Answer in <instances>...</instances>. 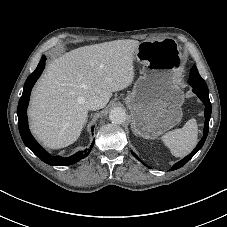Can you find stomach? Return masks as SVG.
Instances as JSON below:
<instances>
[{
  "instance_id": "obj_1",
  "label": "stomach",
  "mask_w": 227,
  "mask_h": 227,
  "mask_svg": "<svg viewBox=\"0 0 227 227\" xmlns=\"http://www.w3.org/2000/svg\"><path fill=\"white\" fill-rule=\"evenodd\" d=\"M134 59L143 65L142 73L125 103L131 112L133 131L145 139H155L182 119L184 95L177 74L183 56L178 47L163 40H145Z\"/></svg>"
}]
</instances>
